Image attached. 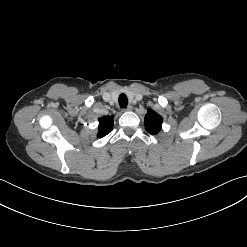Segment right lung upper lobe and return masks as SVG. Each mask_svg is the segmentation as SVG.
<instances>
[{"instance_id": "cb5924a9", "label": "right lung upper lobe", "mask_w": 247, "mask_h": 247, "mask_svg": "<svg viewBox=\"0 0 247 247\" xmlns=\"http://www.w3.org/2000/svg\"><path fill=\"white\" fill-rule=\"evenodd\" d=\"M113 129V117L105 116L99 119L98 137H104Z\"/></svg>"}]
</instances>
